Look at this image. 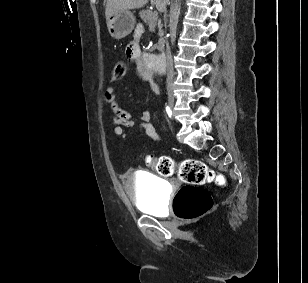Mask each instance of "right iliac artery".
I'll list each match as a JSON object with an SVG mask.
<instances>
[{
    "label": "right iliac artery",
    "mask_w": 308,
    "mask_h": 283,
    "mask_svg": "<svg viewBox=\"0 0 308 283\" xmlns=\"http://www.w3.org/2000/svg\"><path fill=\"white\" fill-rule=\"evenodd\" d=\"M166 110H167V114H168V116H169V117H171L172 112H171V110H170V108H169L168 106L166 107Z\"/></svg>",
    "instance_id": "1"
}]
</instances>
